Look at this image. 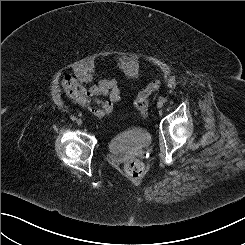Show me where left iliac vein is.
Returning a JSON list of instances; mask_svg holds the SVG:
<instances>
[{
    "mask_svg": "<svg viewBox=\"0 0 245 245\" xmlns=\"http://www.w3.org/2000/svg\"><path fill=\"white\" fill-rule=\"evenodd\" d=\"M157 107H158V108H162V107H163V103H162L161 101H159V102L157 103Z\"/></svg>",
    "mask_w": 245,
    "mask_h": 245,
    "instance_id": "obj_1",
    "label": "left iliac vein"
}]
</instances>
